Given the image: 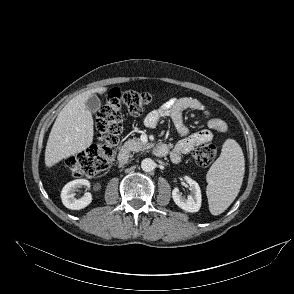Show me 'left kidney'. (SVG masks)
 Wrapping results in <instances>:
<instances>
[{
    "mask_svg": "<svg viewBox=\"0 0 294 294\" xmlns=\"http://www.w3.org/2000/svg\"><path fill=\"white\" fill-rule=\"evenodd\" d=\"M184 179L190 186L191 195L187 198H184L180 193L178 188L173 189L172 191V198L176 205L183 209L186 212H197L201 207V190L196 181L191 179L188 176H185Z\"/></svg>",
    "mask_w": 294,
    "mask_h": 294,
    "instance_id": "1",
    "label": "left kidney"
}]
</instances>
